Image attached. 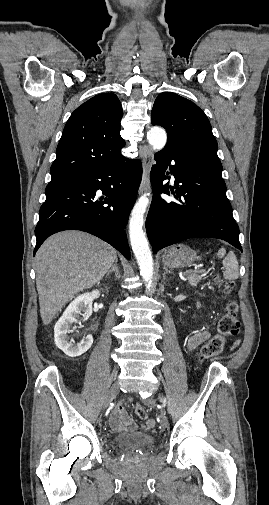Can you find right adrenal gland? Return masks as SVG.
Segmentation results:
<instances>
[{
  "label": "right adrenal gland",
  "mask_w": 269,
  "mask_h": 505,
  "mask_svg": "<svg viewBox=\"0 0 269 505\" xmlns=\"http://www.w3.org/2000/svg\"><path fill=\"white\" fill-rule=\"evenodd\" d=\"M117 262L118 260L116 259L115 262H114V265L112 266V268L107 272L106 276H109L112 272L115 273V276L120 279V271H119V268L117 266Z\"/></svg>",
  "instance_id": "obj_1"
}]
</instances>
